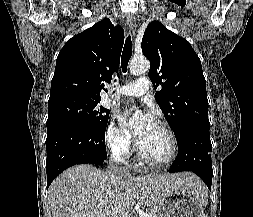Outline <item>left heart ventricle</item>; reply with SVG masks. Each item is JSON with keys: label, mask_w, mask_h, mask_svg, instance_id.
Returning <instances> with one entry per match:
<instances>
[{"label": "left heart ventricle", "mask_w": 253, "mask_h": 217, "mask_svg": "<svg viewBox=\"0 0 253 217\" xmlns=\"http://www.w3.org/2000/svg\"><path fill=\"white\" fill-rule=\"evenodd\" d=\"M138 141L141 151L150 160L163 161L170 153L169 138L158 126L152 128Z\"/></svg>", "instance_id": "1"}]
</instances>
